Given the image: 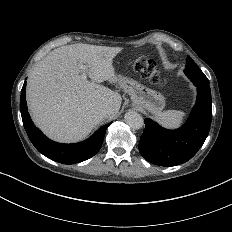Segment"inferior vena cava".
<instances>
[{
	"label": "inferior vena cava",
	"instance_id": "602c4592",
	"mask_svg": "<svg viewBox=\"0 0 232 232\" xmlns=\"http://www.w3.org/2000/svg\"><path fill=\"white\" fill-rule=\"evenodd\" d=\"M101 116L106 117L111 114V109L109 106H104L99 110Z\"/></svg>",
	"mask_w": 232,
	"mask_h": 232
}]
</instances>
